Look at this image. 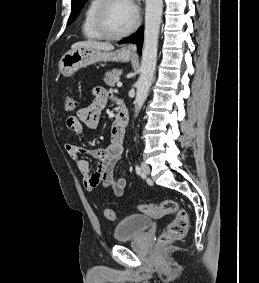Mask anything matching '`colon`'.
Wrapping results in <instances>:
<instances>
[{
  "instance_id": "1",
  "label": "colon",
  "mask_w": 259,
  "mask_h": 283,
  "mask_svg": "<svg viewBox=\"0 0 259 283\" xmlns=\"http://www.w3.org/2000/svg\"><path fill=\"white\" fill-rule=\"evenodd\" d=\"M64 104L67 112H74L78 105L76 99L72 96H66ZM138 209L142 213L154 218H160L165 215L174 216L173 220L158 238L160 245L170 244L185 236L188 228V214L177 201L168 199L159 203L141 204L138 206ZM104 216L109 221H114L116 218L114 211L111 209H105Z\"/></svg>"
}]
</instances>
